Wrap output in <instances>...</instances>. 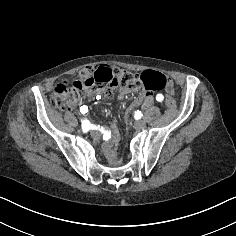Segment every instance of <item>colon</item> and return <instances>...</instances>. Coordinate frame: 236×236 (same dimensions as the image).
Returning a JSON list of instances; mask_svg holds the SVG:
<instances>
[{
    "mask_svg": "<svg viewBox=\"0 0 236 236\" xmlns=\"http://www.w3.org/2000/svg\"><path fill=\"white\" fill-rule=\"evenodd\" d=\"M136 83L142 84L143 92L134 98L129 112L151 92L163 89L169 92L173 90L171 80L160 72L150 70L138 75L108 65H89L79 71L76 81L57 84L51 93L50 102L53 108L67 112L72 110L91 91H110L118 85L126 86ZM166 106L170 109L175 107L171 96L167 97Z\"/></svg>",
    "mask_w": 236,
    "mask_h": 236,
    "instance_id": "5ec220e1",
    "label": "colon"
}]
</instances>
